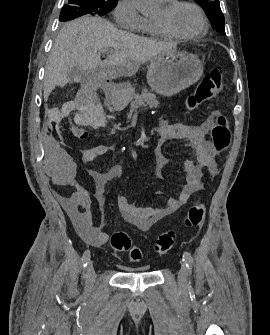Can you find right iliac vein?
<instances>
[{"label":"right iliac vein","instance_id":"right-iliac-vein-1","mask_svg":"<svg viewBox=\"0 0 270 335\" xmlns=\"http://www.w3.org/2000/svg\"><path fill=\"white\" fill-rule=\"evenodd\" d=\"M96 278V273L94 270L93 263L90 261L88 262V267H87V280L89 285H93L94 281Z\"/></svg>","mask_w":270,"mask_h":335}]
</instances>
